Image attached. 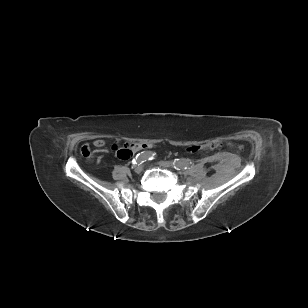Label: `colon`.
<instances>
[{"label":"colon","mask_w":308,"mask_h":308,"mask_svg":"<svg viewBox=\"0 0 308 308\" xmlns=\"http://www.w3.org/2000/svg\"><path fill=\"white\" fill-rule=\"evenodd\" d=\"M221 142L214 140L210 141L203 145H193L190 146L187 151L190 153H197L203 150H213L217 149L221 146ZM151 144L150 143H132L131 141H126L124 143V147L118 148L116 152V156L120 159L126 160L129 159L132 154H136L137 150H150ZM82 155L85 159L91 160L93 158V152L89 148V146L85 145L82 147Z\"/></svg>","instance_id":"colon-1"}]
</instances>
